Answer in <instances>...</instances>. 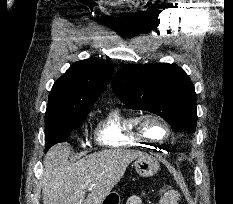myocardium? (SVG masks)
Returning <instances> with one entry per match:
<instances>
[{
    "label": "myocardium",
    "mask_w": 233,
    "mask_h": 204,
    "mask_svg": "<svg viewBox=\"0 0 233 204\" xmlns=\"http://www.w3.org/2000/svg\"><path fill=\"white\" fill-rule=\"evenodd\" d=\"M148 121H155V122L160 123L165 129V135L162 138H156V137L151 136L145 129V125ZM135 132L141 138L147 141L156 142V143L166 141L167 139H169L172 133L171 126L168 123V121L163 116L156 114V113H152V112H147L137 117L136 123H135Z\"/></svg>",
    "instance_id": "f54148a6"
}]
</instances>
